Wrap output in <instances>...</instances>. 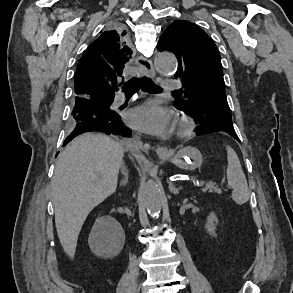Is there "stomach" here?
Wrapping results in <instances>:
<instances>
[{"label": "stomach", "mask_w": 293, "mask_h": 293, "mask_svg": "<svg viewBox=\"0 0 293 293\" xmlns=\"http://www.w3.org/2000/svg\"><path fill=\"white\" fill-rule=\"evenodd\" d=\"M169 160L183 170H195L202 164V155L197 148L186 146L170 157Z\"/></svg>", "instance_id": "1"}]
</instances>
